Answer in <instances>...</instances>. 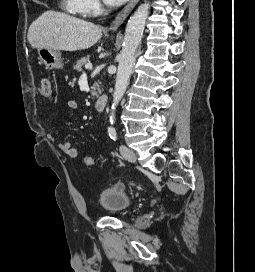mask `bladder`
<instances>
[{
    "label": "bladder",
    "instance_id": "obj_1",
    "mask_svg": "<svg viewBox=\"0 0 255 272\" xmlns=\"http://www.w3.org/2000/svg\"><path fill=\"white\" fill-rule=\"evenodd\" d=\"M98 203L105 212L118 215L129 208L131 199L124 189L109 186L100 191Z\"/></svg>",
    "mask_w": 255,
    "mask_h": 272
}]
</instances>
